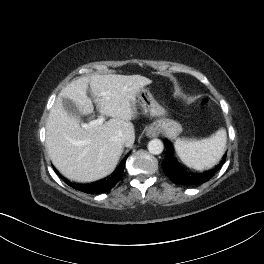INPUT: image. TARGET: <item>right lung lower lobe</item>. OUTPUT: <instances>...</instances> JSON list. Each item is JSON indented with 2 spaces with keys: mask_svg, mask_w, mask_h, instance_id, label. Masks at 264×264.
<instances>
[{
  "mask_svg": "<svg viewBox=\"0 0 264 264\" xmlns=\"http://www.w3.org/2000/svg\"><path fill=\"white\" fill-rule=\"evenodd\" d=\"M125 161L126 158L124 162L119 166V168H117L108 179H104L103 181L97 182L92 185H73V188L85 193H104L109 191L121 179Z\"/></svg>",
  "mask_w": 264,
  "mask_h": 264,
  "instance_id": "obj_1",
  "label": "right lung lower lobe"
}]
</instances>
